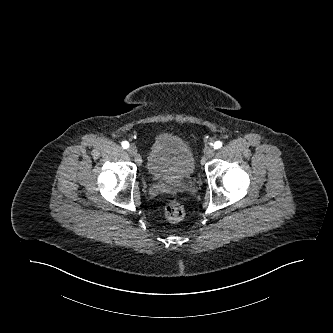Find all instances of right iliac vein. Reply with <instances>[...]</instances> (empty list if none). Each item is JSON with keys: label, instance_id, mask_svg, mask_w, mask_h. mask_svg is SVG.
Here are the masks:
<instances>
[{"label": "right iliac vein", "instance_id": "63e3f726", "mask_svg": "<svg viewBox=\"0 0 333 333\" xmlns=\"http://www.w3.org/2000/svg\"><path fill=\"white\" fill-rule=\"evenodd\" d=\"M127 151L131 156H135L137 154V147L132 144L128 147Z\"/></svg>", "mask_w": 333, "mask_h": 333}]
</instances>
